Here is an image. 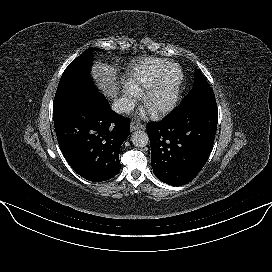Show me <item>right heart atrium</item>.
<instances>
[{
  "label": "right heart atrium",
  "instance_id": "1",
  "mask_svg": "<svg viewBox=\"0 0 272 272\" xmlns=\"http://www.w3.org/2000/svg\"><path fill=\"white\" fill-rule=\"evenodd\" d=\"M136 97H137V94L134 91L126 89L123 92V96H122L123 110L127 111V110L131 109L132 106L134 105Z\"/></svg>",
  "mask_w": 272,
  "mask_h": 272
}]
</instances>
